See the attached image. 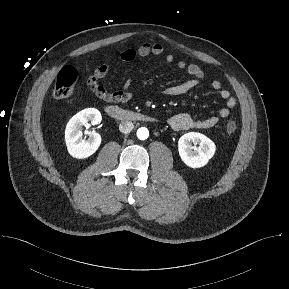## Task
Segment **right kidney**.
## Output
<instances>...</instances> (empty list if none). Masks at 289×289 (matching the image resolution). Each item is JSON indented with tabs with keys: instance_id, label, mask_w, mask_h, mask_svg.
Returning a JSON list of instances; mask_svg holds the SVG:
<instances>
[{
	"instance_id": "ca27d5eb",
	"label": "right kidney",
	"mask_w": 289,
	"mask_h": 289,
	"mask_svg": "<svg viewBox=\"0 0 289 289\" xmlns=\"http://www.w3.org/2000/svg\"><path fill=\"white\" fill-rule=\"evenodd\" d=\"M101 113L95 108H87L74 115L67 123L65 142L69 154L77 159H84L94 154L100 144L101 136L96 132L89 133V138L83 137V126L97 125L101 122Z\"/></svg>"
}]
</instances>
